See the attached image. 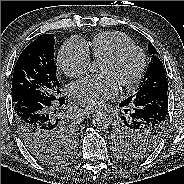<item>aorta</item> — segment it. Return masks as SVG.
<instances>
[{
  "label": "aorta",
  "instance_id": "762f6f07",
  "mask_svg": "<svg viewBox=\"0 0 184 184\" xmlns=\"http://www.w3.org/2000/svg\"><path fill=\"white\" fill-rule=\"evenodd\" d=\"M90 71L91 72L97 71V67L95 64H92L90 66ZM92 123L98 129H106L111 124V117L106 112H97L92 117Z\"/></svg>",
  "mask_w": 184,
  "mask_h": 184
}]
</instances>
